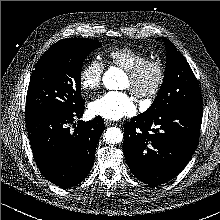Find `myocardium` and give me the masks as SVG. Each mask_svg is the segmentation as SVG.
Segmentation results:
<instances>
[{
  "label": "myocardium",
  "mask_w": 220,
  "mask_h": 220,
  "mask_svg": "<svg viewBox=\"0 0 220 220\" xmlns=\"http://www.w3.org/2000/svg\"><path fill=\"white\" fill-rule=\"evenodd\" d=\"M150 69L155 71V79L151 85L145 86L142 84V80ZM127 77L132 82L133 93L140 99L150 101L161 91L166 78V69L160 60L148 58L127 71Z\"/></svg>",
  "instance_id": "1"
}]
</instances>
